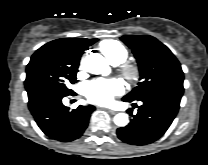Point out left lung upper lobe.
<instances>
[{
  "instance_id": "left-lung-upper-lobe-1",
  "label": "left lung upper lobe",
  "mask_w": 208,
  "mask_h": 165,
  "mask_svg": "<svg viewBox=\"0 0 208 165\" xmlns=\"http://www.w3.org/2000/svg\"><path fill=\"white\" fill-rule=\"evenodd\" d=\"M121 40L132 49L140 72V82L123 99L139 100L166 87L183 88V71L174 54L156 38L125 35Z\"/></svg>"
}]
</instances>
